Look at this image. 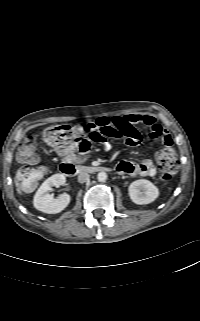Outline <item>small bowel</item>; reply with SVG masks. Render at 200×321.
Returning a JSON list of instances; mask_svg holds the SVG:
<instances>
[{"instance_id": "c3829d8e", "label": "small bowel", "mask_w": 200, "mask_h": 321, "mask_svg": "<svg viewBox=\"0 0 200 321\" xmlns=\"http://www.w3.org/2000/svg\"><path fill=\"white\" fill-rule=\"evenodd\" d=\"M95 128L110 127L115 136L123 138L127 145L137 146L141 141L140 129L145 127L148 129V136L152 139H159L165 146V149H170L173 140L170 134L156 119L148 114H129L121 117H100L93 124ZM108 143L104 144L106 151L110 150ZM164 150L158 152L156 157ZM65 156L68 163L76 161V156L71 152H61ZM116 170L122 175H138V176H154L156 167L153 161L149 158L144 159L140 163L121 161L117 164Z\"/></svg>"}]
</instances>
